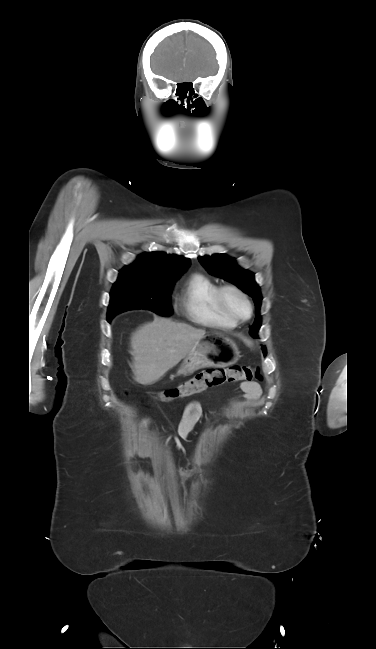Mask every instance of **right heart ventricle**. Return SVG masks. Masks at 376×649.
<instances>
[{"label":"right heart ventricle","instance_id":"1","mask_svg":"<svg viewBox=\"0 0 376 649\" xmlns=\"http://www.w3.org/2000/svg\"><path fill=\"white\" fill-rule=\"evenodd\" d=\"M219 287L203 273L191 274L179 288L180 310L195 323L221 329L234 328L237 323L225 315L217 300Z\"/></svg>","mask_w":376,"mask_h":649}]
</instances>
